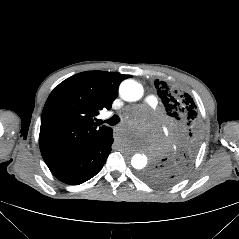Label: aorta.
<instances>
[{
    "label": "aorta",
    "mask_w": 239,
    "mask_h": 239,
    "mask_svg": "<svg viewBox=\"0 0 239 239\" xmlns=\"http://www.w3.org/2000/svg\"><path fill=\"white\" fill-rule=\"evenodd\" d=\"M120 95L125 101H137L143 95L142 86L130 79L124 80L120 85ZM151 157L148 154L136 152L131 158V165L135 169H143L150 162Z\"/></svg>",
    "instance_id": "762f6f07"
}]
</instances>
